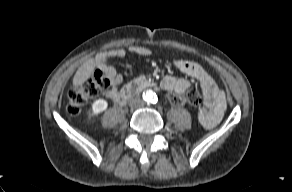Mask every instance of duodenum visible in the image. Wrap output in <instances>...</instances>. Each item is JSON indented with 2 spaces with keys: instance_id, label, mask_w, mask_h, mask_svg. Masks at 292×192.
<instances>
[{
  "instance_id": "duodenum-1",
  "label": "duodenum",
  "mask_w": 292,
  "mask_h": 192,
  "mask_svg": "<svg viewBox=\"0 0 292 192\" xmlns=\"http://www.w3.org/2000/svg\"><path fill=\"white\" fill-rule=\"evenodd\" d=\"M154 85L153 82L145 79V78H137L134 81L128 83L122 94L121 102H126L132 96L140 93L142 90L152 87Z\"/></svg>"
}]
</instances>
